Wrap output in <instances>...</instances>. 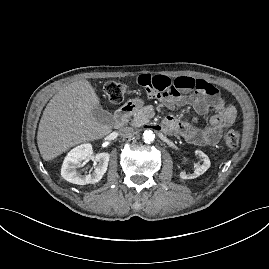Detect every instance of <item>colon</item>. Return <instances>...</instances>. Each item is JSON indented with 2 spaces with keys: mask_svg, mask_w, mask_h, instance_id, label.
Here are the masks:
<instances>
[{
  "mask_svg": "<svg viewBox=\"0 0 269 269\" xmlns=\"http://www.w3.org/2000/svg\"><path fill=\"white\" fill-rule=\"evenodd\" d=\"M104 91L107 99L111 103H118L124 98L127 88L125 84L121 82H108L105 85ZM223 142L227 148L236 149L240 143V133L234 129H225Z\"/></svg>",
  "mask_w": 269,
  "mask_h": 269,
  "instance_id": "obj_1",
  "label": "colon"
}]
</instances>
